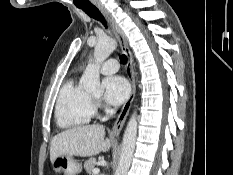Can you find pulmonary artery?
<instances>
[{"mask_svg": "<svg viewBox=\"0 0 233 175\" xmlns=\"http://www.w3.org/2000/svg\"><path fill=\"white\" fill-rule=\"evenodd\" d=\"M119 69V63L115 59H109L101 65V72L103 74H113Z\"/></svg>", "mask_w": 233, "mask_h": 175, "instance_id": "e3ab8cb5", "label": "pulmonary artery"}]
</instances>
